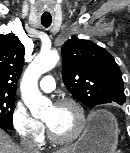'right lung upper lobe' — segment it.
Wrapping results in <instances>:
<instances>
[{
    "label": "right lung upper lobe",
    "mask_w": 130,
    "mask_h": 153,
    "mask_svg": "<svg viewBox=\"0 0 130 153\" xmlns=\"http://www.w3.org/2000/svg\"><path fill=\"white\" fill-rule=\"evenodd\" d=\"M25 48L12 34L0 35V95L15 96Z\"/></svg>",
    "instance_id": "cb5924a9"
}]
</instances>
